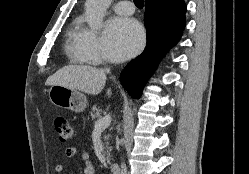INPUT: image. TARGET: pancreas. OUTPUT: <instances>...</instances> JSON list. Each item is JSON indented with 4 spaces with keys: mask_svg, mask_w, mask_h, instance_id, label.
<instances>
[{
    "mask_svg": "<svg viewBox=\"0 0 249 174\" xmlns=\"http://www.w3.org/2000/svg\"><path fill=\"white\" fill-rule=\"evenodd\" d=\"M89 114L91 116L92 121H96V120L102 118L101 109L97 108L95 105L92 107ZM109 139H110V135L104 136V145H105L104 149H107V152H104V155L106 156L105 160L107 161V163H110L111 156H110L109 152L112 150V148L110 147V144H109Z\"/></svg>",
    "mask_w": 249,
    "mask_h": 174,
    "instance_id": "cf45deb5",
    "label": "pancreas"
}]
</instances>
